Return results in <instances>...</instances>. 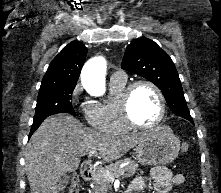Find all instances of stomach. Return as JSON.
<instances>
[{"label":"stomach","instance_id":"0dacf381","mask_svg":"<svg viewBox=\"0 0 221 193\" xmlns=\"http://www.w3.org/2000/svg\"><path fill=\"white\" fill-rule=\"evenodd\" d=\"M180 150V140L170 128L158 127L136 147L137 160L146 166L173 162Z\"/></svg>","mask_w":221,"mask_h":193}]
</instances>
